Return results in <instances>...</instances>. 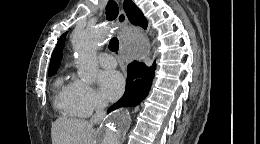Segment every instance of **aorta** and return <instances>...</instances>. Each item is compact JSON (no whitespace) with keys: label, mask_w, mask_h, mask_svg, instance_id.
Segmentation results:
<instances>
[{"label":"aorta","mask_w":260,"mask_h":144,"mask_svg":"<svg viewBox=\"0 0 260 144\" xmlns=\"http://www.w3.org/2000/svg\"><path fill=\"white\" fill-rule=\"evenodd\" d=\"M108 38L107 26L75 31L73 48L78 56V75L82 81L92 84L98 72L97 49ZM135 52V49H132ZM129 118L125 113H116L104 126L102 144H122Z\"/></svg>","instance_id":"1"}]
</instances>
